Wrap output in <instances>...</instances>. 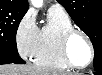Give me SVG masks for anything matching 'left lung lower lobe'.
Wrapping results in <instances>:
<instances>
[{
	"instance_id": "0a47b994",
	"label": "left lung lower lobe",
	"mask_w": 102,
	"mask_h": 75,
	"mask_svg": "<svg viewBox=\"0 0 102 75\" xmlns=\"http://www.w3.org/2000/svg\"><path fill=\"white\" fill-rule=\"evenodd\" d=\"M95 75H101L102 73L101 72H96L94 73Z\"/></svg>"
}]
</instances>
